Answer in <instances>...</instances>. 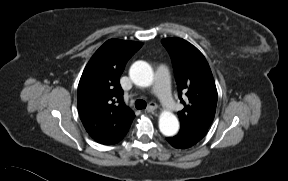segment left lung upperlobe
<instances>
[{"label":"left lung upper lobe","mask_w":288,"mask_h":181,"mask_svg":"<svg viewBox=\"0 0 288 181\" xmlns=\"http://www.w3.org/2000/svg\"><path fill=\"white\" fill-rule=\"evenodd\" d=\"M161 42L171 56L179 99L185 106L178 112L181 129L207 130L215 116L217 89L205 57L184 39L165 38Z\"/></svg>","instance_id":"5c2ea615"}]
</instances>
